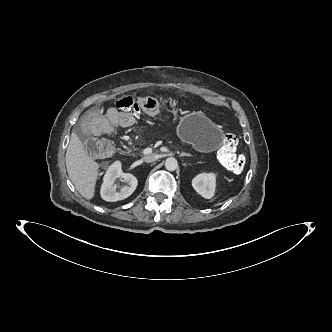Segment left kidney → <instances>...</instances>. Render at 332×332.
<instances>
[{"instance_id":"1","label":"left kidney","mask_w":332,"mask_h":332,"mask_svg":"<svg viewBox=\"0 0 332 332\" xmlns=\"http://www.w3.org/2000/svg\"><path fill=\"white\" fill-rule=\"evenodd\" d=\"M215 174L202 173L192 180V186L204 198H211L215 192Z\"/></svg>"}]
</instances>
